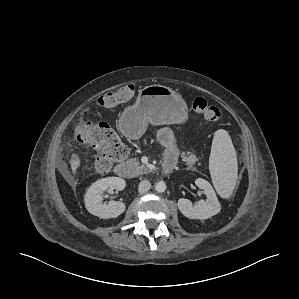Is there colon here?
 <instances>
[{
  "label": "colon",
  "mask_w": 299,
  "mask_h": 299,
  "mask_svg": "<svg viewBox=\"0 0 299 299\" xmlns=\"http://www.w3.org/2000/svg\"><path fill=\"white\" fill-rule=\"evenodd\" d=\"M132 85L123 86L116 91L107 92L98 99L99 104L105 108H115L128 102L134 95ZM193 111L201 115L208 122H216L220 118V110L202 97L191 99ZM78 140L92 146L99 151L94 161V169L99 173L108 172L117 162L127 156V148L120 141L113 129L105 122L87 123L77 134Z\"/></svg>",
  "instance_id": "obj_1"
}]
</instances>
